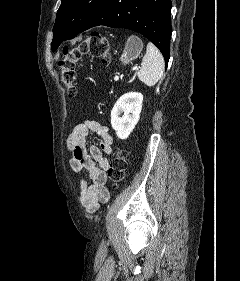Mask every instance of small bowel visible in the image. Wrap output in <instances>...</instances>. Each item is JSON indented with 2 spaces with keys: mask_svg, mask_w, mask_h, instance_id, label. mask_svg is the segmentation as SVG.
I'll use <instances>...</instances> for the list:
<instances>
[{
  "mask_svg": "<svg viewBox=\"0 0 240 281\" xmlns=\"http://www.w3.org/2000/svg\"><path fill=\"white\" fill-rule=\"evenodd\" d=\"M93 133L101 141L99 146L87 148V136ZM68 148L71 153L69 165L74 172L86 170L89 179L79 178L80 201L88 213H95L101 204L109 201V191L105 186L109 160L106 155L112 153L113 138L103 124L94 120H85L76 125L68 138Z\"/></svg>",
  "mask_w": 240,
  "mask_h": 281,
  "instance_id": "c3829d8e",
  "label": "small bowel"
}]
</instances>
